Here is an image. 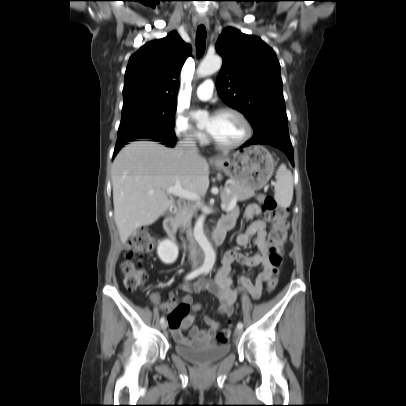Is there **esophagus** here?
Instances as JSON below:
<instances>
[{
    "label": "esophagus",
    "instance_id": "1",
    "mask_svg": "<svg viewBox=\"0 0 406 406\" xmlns=\"http://www.w3.org/2000/svg\"><path fill=\"white\" fill-rule=\"evenodd\" d=\"M207 23H208V20H207V19H205V18H200V19H199V24H201V25H206ZM211 161L215 162V161H217V160L213 158Z\"/></svg>",
    "mask_w": 406,
    "mask_h": 406
}]
</instances>
